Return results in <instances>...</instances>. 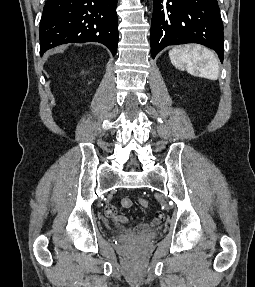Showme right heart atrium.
Returning <instances> with one entry per match:
<instances>
[{"instance_id":"right-heart-atrium-1","label":"right heart atrium","mask_w":255,"mask_h":287,"mask_svg":"<svg viewBox=\"0 0 255 287\" xmlns=\"http://www.w3.org/2000/svg\"><path fill=\"white\" fill-rule=\"evenodd\" d=\"M129 33H138V32H129ZM129 39H138V38H129Z\"/></svg>"}]
</instances>
